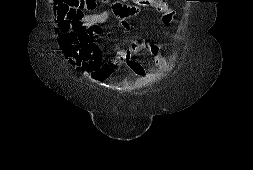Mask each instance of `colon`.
<instances>
[{
	"label": "colon",
	"mask_w": 253,
	"mask_h": 170,
	"mask_svg": "<svg viewBox=\"0 0 253 170\" xmlns=\"http://www.w3.org/2000/svg\"><path fill=\"white\" fill-rule=\"evenodd\" d=\"M93 0H53L54 12L59 21H69L83 14V10H91ZM147 5H155L160 0H141Z\"/></svg>",
	"instance_id": "colon-1"
}]
</instances>
